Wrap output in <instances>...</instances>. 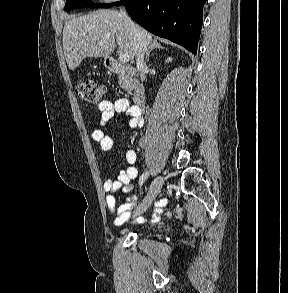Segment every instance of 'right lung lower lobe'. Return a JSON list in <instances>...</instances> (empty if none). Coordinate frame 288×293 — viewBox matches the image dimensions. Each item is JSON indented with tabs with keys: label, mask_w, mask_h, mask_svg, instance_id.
I'll use <instances>...</instances> for the list:
<instances>
[{
	"label": "right lung lower lobe",
	"mask_w": 288,
	"mask_h": 293,
	"mask_svg": "<svg viewBox=\"0 0 288 293\" xmlns=\"http://www.w3.org/2000/svg\"><path fill=\"white\" fill-rule=\"evenodd\" d=\"M206 0H121L131 18L151 33L196 54Z\"/></svg>",
	"instance_id": "obj_1"
}]
</instances>
